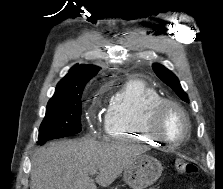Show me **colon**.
<instances>
[{"label":"colon","instance_id":"colon-1","mask_svg":"<svg viewBox=\"0 0 223 189\" xmlns=\"http://www.w3.org/2000/svg\"><path fill=\"white\" fill-rule=\"evenodd\" d=\"M175 169L179 174L183 175H193L197 171V167L195 164L182 159L176 160Z\"/></svg>","mask_w":223,"mask_h":189}]
</instances>
